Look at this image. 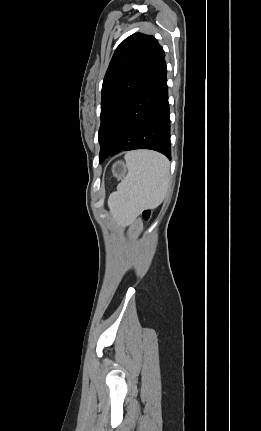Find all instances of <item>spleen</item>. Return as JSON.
<instances>
[{
	"mask_svg": "<svg viewBox=\"0 0 261 431\" xmlns=\"http://www.w3.org/2000/svg\"><path fill=\"white\" fill-rule=\"evenodd\" d=\"M127 175L109 198V207L117 216L136 217L143 210L158 207L169 188V161L147 150L125 155Z\"/></svg>",
	"mask_w": 261,
	"mask_h": 431,
	"instance_id": "3e777b00",
	"label": "spleen"
}]
</instances>
